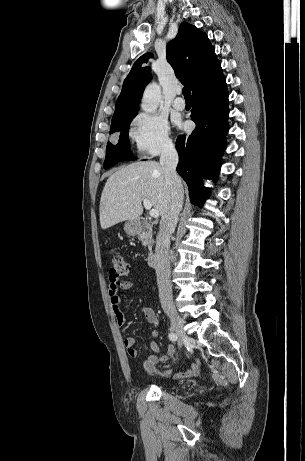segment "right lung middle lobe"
<instances>
[{"instance_id":"obj_1","label":"right lung middle lobe","mask_w":305,"mask_h":461,"mask_svg":"<svg viewBox=\"0 0 305 461\" xmlns=\"http://www.w3.org/2000/svg\"><path fill=\"white\" fill-rule=\"evenodd\" d=\"M134 117L135 116L122 120L110 129V133L119 131L121 134L117 144L107 143L106 158L104 161L105 169L123 160H134V156L130 152L128 138L129 124Z\"/></svg>"}]
</instances>
